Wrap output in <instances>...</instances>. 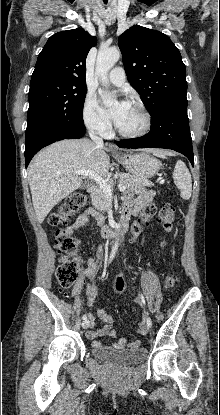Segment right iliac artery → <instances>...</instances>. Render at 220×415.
Instances as JSON below:
<instances>
[{"label": "right iliac artery", "instance_id": "1", "mask_svg": "<svg viewBox=\"0 0 220 415\" xmlns=\"http://www.w3.org/2000/svg\"><path fill=\"white\" fill-rule=\"evenodd\" d=\"M116 251H117V246H114V247H113V249H112V252H111L110 258H109V263L113 260V258H114V256H115ZM82 319H83V320H87V316H86V315H83V316H82Z\"/></svg>", "mask_w": 220, "mask_h": 415}]
</instances>
